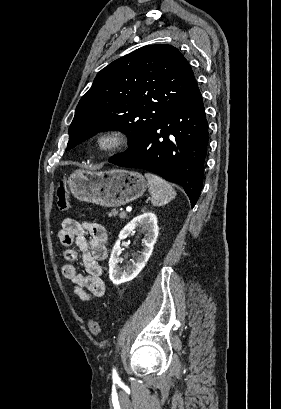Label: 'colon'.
<instances>
[{"label":"colon","mask_w":281,"mask_h":409,"mask_svg":"<svg viewBox=\"0 0 281 409\" xmlns=\"http://www.w3.org/2000/svg\"><path fill=\"white\" fill-rule=\"evenodd\" d=\"M57 196H58L57 206L59 210L62 212L69 211L71 207L70 199L61 185L57 187ZM89 326H90V331L93 334H99L101 332V321L100 320H97V319L92 320Z\"/></svg>","instance_id":"colon-1"}]
</instances>
